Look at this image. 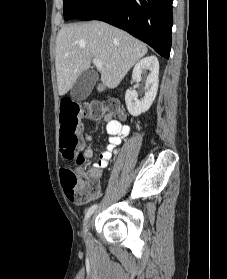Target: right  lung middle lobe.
I'll list each match as a JSON object with an SVG mask.
<instances>
[{
    "label": "right lung middle lobe",
    "mask_w": 227,
    "mask_h": 279,
    "mask_svg": "<svg viewBox=\"0 0 227 279\" xmlns=\"http://www.w3.org/2000/svg\"><path fill=\"white\" fill-rule=\"evenodd\" d=\"M93 0H63V13L65 20L79 17Z\"/></svg>",
    "instance_id": "obj_1"
}]
</instances>
